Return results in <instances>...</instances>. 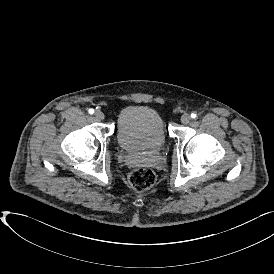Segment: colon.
Returning <instances> with one entry per match:
<instances>
[{
	"label": "colon",
	"mask_w": 274,
	"mask_h": 274,
	"mask_svg": "<svg viewBox=\"0 0 274 274\" xmlns=\"http://www.w3.org/2000/svg\"><path fill=\"white\" fill-rule=\"evenodd\" d=\"M156 176L152 169L143 167L133 170L128 177L130 186L136 191L142 192L152 188Z\"/></svg>",
	"instance_id": "5ec220e1"
}]
</instances>
